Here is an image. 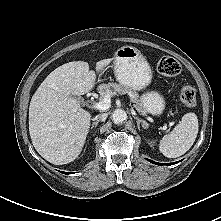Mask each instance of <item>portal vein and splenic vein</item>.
Segmentation results:
<instances>
[{"label":"portal vein and splenic vein","mask_w":221,"mask_h":221,"mask_svg":"<svg viewBox=\"0 0 221 221\" xmlns=\"http://www.w3.org/2000/svg\"><path fill=\"white\" fill-rule=\"evenodd\" d=\"M110 103H111V98L109 95H107L101 101L94 103L92 105V108H94L96 110L105 111L110 107ZM174 124H175V122L169 123V127L173 126Z\"/></svg>","instance_id":"1"}]
</instances>
